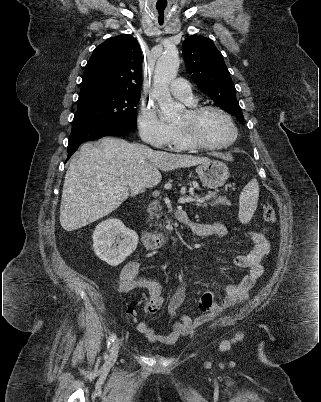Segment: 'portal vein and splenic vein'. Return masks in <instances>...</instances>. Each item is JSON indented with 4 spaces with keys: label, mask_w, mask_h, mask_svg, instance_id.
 Here are the masks:
<instances>
[{
    "label": "portal vein and splenic vein",
    "mask_w": 321,
    "mask_h": 402,
    "mask_svg": "<svg viewBox=\"0 0 321 402\" xmlns=\"http://www.w3.org/2000/svg\"><path fill=\"white\" fill-rule=\"evenodd\" d=\"M125 190H126V188H124V187H120V188H115V189H113L114 192L125 191ZM214 195H215V193H211V194H209V195H207V196H205V197H202V198L196 197V199L193 198L192 196H185V197H181V198L178 200V202L181 203V204H183V203H190V202H193V201H195V200H196V201H199V202H204L205 200L210 199V198L213 197Z\"/></svg>",
    "instance_id": "obj_1"
}]
</instances>
